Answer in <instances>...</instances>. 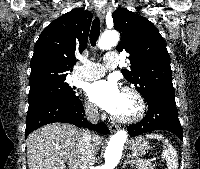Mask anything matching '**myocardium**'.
Segmentation results:
<instances>
[{
    "mask_svg": "<svg viewBox=\"0 0 200 169\" xmlns=\"http://www.w3.org/2000/svg\"><path fill=\"white\" fill-rule=\"evenodd\" d=\"M122 92L130 94L134 98L137 105V109L133 115L125 117L112 115V119L116 122L124 124H134L141 121L145 117L147 111V105L144 97L137 89L133 87H124L122 89Z\"/></svg>",
    "mask_w": 200,
    "mask_h": 169,
    "instance_id": "obj_1",
    "label": "myocardium"
}]
</instances>
